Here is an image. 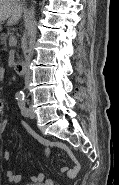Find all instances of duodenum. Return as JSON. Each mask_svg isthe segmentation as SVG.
Here are the masks:
<instances>
[{
	"instance_id": "410a0bca",
	"label": "duodenum",
	"mask_w": 119,
	"mask_h": 185,
	"mask_svg": "<svg viewBox=\"0 0 119 185\" xmlns=\"http://www.w3.org/2000/svg\"><path fill=\"white\" fill-rule=\"evenodd\" d=\"M15 70L19 76H24L27 73V63L25 61H19L15 65Z\"/></svg>"
}]
</instances>
